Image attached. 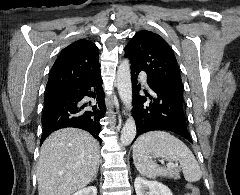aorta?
Returning a JSON list of instances; mask_svg holds the SVG:
<instances>
[{
	"label": "aorta",
	"instance_id": "aorta-1",
	"mask_svg": "<svg viewBox=\"0 0 240 195\" xmlns=\"http://www.w3.org/2000/svg\"><path fill=\"white\" fill-rule=\"evenodd\" d=\"M116 80L118 94L122 99L125 107H127V109H129L130 111L132 107V84L129 60H122L117 70ZM135 135H136L135 119L129 113V117H127L126 123L122 127L120 137L121 145H129V143L133 141Z\"/></svg>",
	"mask_w": 240,
	"mask_h": 195
}]
</instances>
